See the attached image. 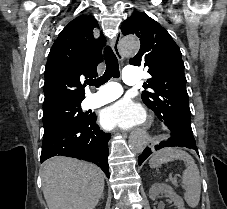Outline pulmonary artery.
<instances>
[{"instance_id": "obj_1", "label": "pulmonary artery", "mask_w": 227, "mask_h": 209, "mask_svg": "<svg viewBox=\"0 0 227 209\" xmlns=\"http://www.w3.org/2000/svg\"><path fill=\"white\" fill-rule=\"evenodd\" d=\"M141 71L137 70L136 66H125L124 67V73L122 79L124 84L131 85L133 83H139V78H137V75H140ZM97 87H104V82H97ZM120 89V84H109V88H104V92H97L94 91H100V88H93V91H87L84 104L88 108H96L103 106L113 100H115L117 97H119L122 94V91Z\"/></svg>"}]
</instances>
